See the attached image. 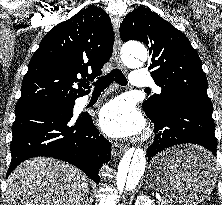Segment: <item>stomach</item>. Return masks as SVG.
Here are the masks:
<instances>
[{
    "mask_svg": "<svg viewBox=\"0 0 222 205\" xmlns=\"http://www.w3.org/2000/svg\"><path fill=\"white\" fill-rule=\"evenodd\" d=\"M205 155L206 150L193 145L168 149L150 162L146 182L181 205H197L209 196L217 178L213 164L196 160Z\"/></svg>",
    "mask_w": 222,
    "mask_h": 205,
    "instance_id": "0dacf381",
    "label": "stomach"
}]
</instances>
